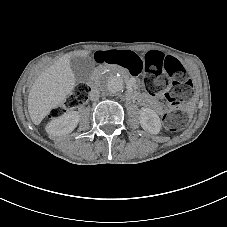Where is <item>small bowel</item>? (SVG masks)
<instances>
[{"instance_id":"c3829d8e","label":"small bowel","mask_w":227,"mask_h":227,"mask_svg":"<svg viewBox=\"0 0 227 227\" xmlns=\"http://www.w3.org/2000/svg\"><path fill=\"white\" fill-rule=\"evenodd\" d=\"M152 52L157 53L159 56L165 57V55L163 53H161V52H158V51H152ZM147 99H148V102H149L148 105L151 108L155 109L158 112H162L163 111L162 106L160 105V103L156 99H152V98H147Z\"/></svg>"}]
</instances>
